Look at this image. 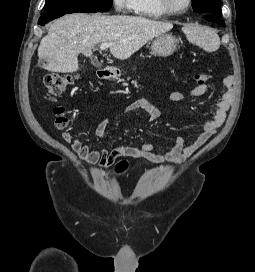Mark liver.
Here are the masks:
<instances>
[{
    "label": "liver",
    "instance_id": "liver-1",
    "mask_svg": "<svg viewBox=\"0 0 255 272\" xmlns=\"http://www.w3.org/2000/svg\"><path fill=\"white\" fill-rule=\"evenodd\" d=\"M172 28V23L141 16L73 13L54 21L40 42L38 56L47 61L48 71L73 73L79 69L78 55L91 57L92 49L99 43L113 44L110 53L125 60Z\"/></svg>",
    "mask_w": 255,
    "mask_h": 272
}]
</instances>
